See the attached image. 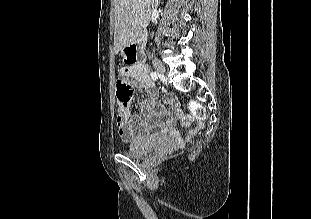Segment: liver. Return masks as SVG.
<instances>
[{"label":"liver","instance_id":"liver-1","mask_svg":"<svg viewBox=\"0 0 311 219\" xmlns=\"http://www.w3.org/2000/svg\"><path fill=\"white\" fill-rule=\"evenodd\" d=\"M160 0H114L115 31L114 51L117 54L124 47L134 43L139 33L151 19L152 8Z\"/></svg>","mask_w":311,"mask_h":219}]
</instances>
